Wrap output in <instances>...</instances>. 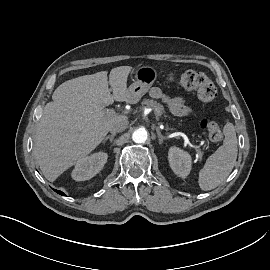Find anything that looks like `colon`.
<instances>
[{
    "label": "colon",
    "instance_id": "5ec220e1",
    "mask_svg": "<svg viewBox=\"0 0 270 270\" xmlns=\"http://www.w3.org/2000/svg\"><path fill=\"white\" fill-rule=\"evenodd\" d=\"M170 80L174 77L170 76ZM178 83L189 91H194L203 103L211 102L217 95V90L212 81L202 72L189 70L183 73ZM200 127L207 133L210 140L218 142L222 138L221 125L210 119H202Z\"/></svg>",
    "mask_w": 270,
    "mask_h": 270
}]
</instances>
